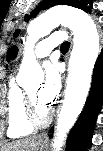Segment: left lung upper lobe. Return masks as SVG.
I'll return each instance as SVG.
<instances>
[{
  "label": "left lung upper lobe",
  "mask_w": 103,
  "mask_h": 151,
  "mask_svg": "<svg viewBox=\"0 0 103 151\" xmlns=\"http://www.w3.org/2000/svg\"><path fill=\"white\" fill-rule=\"evenodd\" d=\"M59 4L73 6L82 9L85 12L91 13L93 1L92 0H42V2L30 13V16L27 15L25 17V20L28 21L29 18L35 17L40 11Z\"/></svg>",
  "instance_id": "5c2ea615"
}]
</instances>
